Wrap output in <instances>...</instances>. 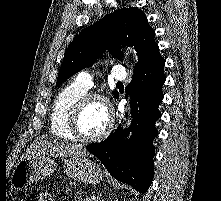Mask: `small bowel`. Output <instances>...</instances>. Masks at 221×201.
<instances>
[{"label":"small bowel","instance_id":"obj_1","mask_svg":"<svg viewBox=\"0 0 221 201\" xmlns=\"http://www.w3.org/2000/svg\"><path fill=\"white\" fill-rule=\"evenodd\" d=\"M37 201H55L54 198L48 193H41Z\"/></svg>","mask_w":221,"mask_h":201}]
</instances>
